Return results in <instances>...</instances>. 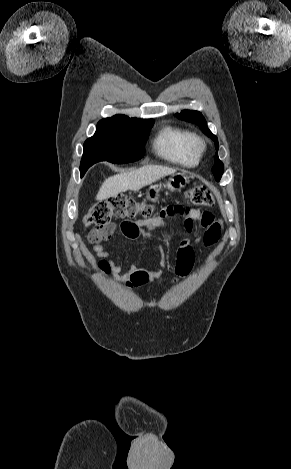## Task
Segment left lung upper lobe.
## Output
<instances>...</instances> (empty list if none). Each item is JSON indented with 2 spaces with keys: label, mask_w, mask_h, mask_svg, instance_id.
I'll use <instances>...</instances> for the list:
<instances>
[{
  "label": "left lung upper lobe",
  "mask_w": 291,
  "mask_h": 469,
  "mask_svg": "<svg viewBox=\"0 0 291 469\" xmlns=\"http://www.w3.org/2000/svg\"><path fill=\"white\" fill-rule=\"evenodd\" d=\"M176 116L180 120H185V121L197 124L201 128V130L215 142L216 150H218V147H219L218 139L208 129L206 120L200 112L194 111V110H183L181 113H177ZM214 162L215 164L212 168V173L214 174L215 179L219 181L224 171V165L219 160L218 154H216Z\"/></svg>",
  "instance_id": "1"
}]
</instances>
